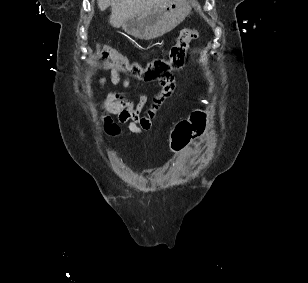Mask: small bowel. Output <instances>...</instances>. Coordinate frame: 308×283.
<instances>
[{"label": "small bowel", "instance_id": "1", "mask_svg": "<svg viewBox=\"0 0 308 283\" xmlns=\"http://www.w3.org/2000/svg\"><path fill=\"white\" fill-rule=\"evenodd\" d=\"M107 78H99V87H106ZM109 81L114 86H121L124 89H133V85L128 79L120 75V70L111 66ZM174 86H163L154 96L152 104L145 108L148 96L144 93L137 95L136 99H131L126 92H112L102 97L100 103L101 118L103 127L107 134L117 135L120 131L119 126L113 121L112 116H116L120 124L134 134H142L149 131L156 117L157 111L163 102L171 96Z\"/></svg>", "mask_w": 308, "mask_h": 283}]
</instances>
